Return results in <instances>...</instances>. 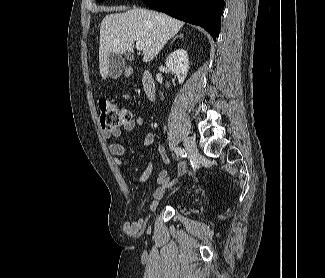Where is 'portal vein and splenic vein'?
<instances>
[{
	"instance_id": "18ae733b",
	"label": "portal vein and splenic vein",
	"mask_w": 325,
	"mask_h": 278,
	"mask_svg": "<svg viewBox=\"0 0 325 278\" xmlns=\"http://www.w3.org/2000/svg\"><path fill=\"white\" fill-rule=\"evenodd\" d=\"M143 47H144V43H143L142 41H137V42H136V48H137L138 50H142Z\"/></svg>"
}]
</instances>
